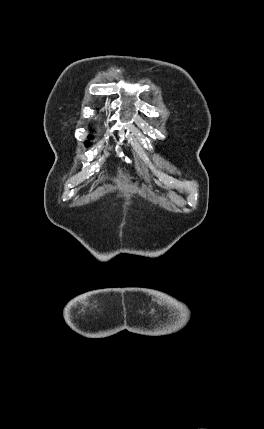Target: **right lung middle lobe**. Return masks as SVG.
Returning <instances> with one entry per match:
<instances>
[{"instance_id":"right-lung-middle-lobe-1","label":"right lung middle lobe","mask_w":264,"mask_h":429,"mask_svg":"<svg viewBox=\"0 0 264 429\" xmlns=\"http://www.w3.org/2000/svg\"><path fill=\"white\" fill-rule=\"evenodd\" d=\"M86 145L88 146V145H89V143H88V142H86Z\"/></svg>"}]
</instances>
